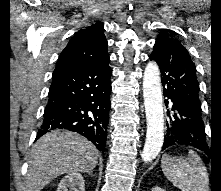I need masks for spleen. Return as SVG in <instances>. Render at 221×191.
Masks as SVG:
<instances>
[{
  "instance_id": "obj_1",
  "label": "spleen",
  "mask_w": 221,
  "mask_h": 191,
  "mask_svg": "<svg viewBox=\"0 0 221 191\" xmlns=\"http://www.w3.org/2000/svg\"><path fill=\"white\" fill-rule=\"evenodd\" d=\"M161 167L165 177L181 191H209V175L195 152L187 157L164 154Z\"/></svg>"
}]
</instances>
